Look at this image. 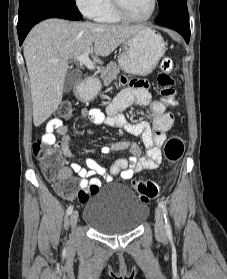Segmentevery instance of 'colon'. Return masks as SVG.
<instances>
[{
    "instance_id": "1",
    "label": "colon",
    "mask_w": 227,
    "mask_h": 279,
    "mask_svg": "<svg viewBox=\"0 0 227 279\" xmlns=\"http://www.w3.org/2000/svg\"><path fill=\"white\" fill-rule=\"evenodd\" d=\"M160 72L157 76V84L160 89L162 98L169 105H176V89L175 80L172 72L174 70V63L171 58H164L160 63ZM74 107L70 104H63L59 110V119L68 120L71 118ZM58 120V119H57ZM54 137L50 136L43 141H37L33 144V155L39 161L42 171L46 178L56 185V188L65 196L77 197L78 200L87 198L83 191H78L75 179H68L66 181H56L55 172L58 168L61 159L57 151L52 150L46 146L54 142ZM184 153V140L179 135H172L166 141L164 147V155L167 161L175 163L178 162ZM134 186L142 203H147L151 199L159 196V184L155 180H137ZM96 183H92L90 189L92 192L98 189Z\"/></svg>"
}]
</instances>
